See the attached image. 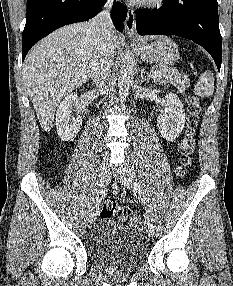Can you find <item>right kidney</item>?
Wrapping results in <instances>:
<instances>
[{
	"mask_svg": "<svg viewBox=\"0 0 233 286\" xmlns=\"http://www.w3.org/2000/svg\"><path fill=\"white\" fill-rule=\"evenodd\" d=\"M79 98L77 94H68L59 104L56 112L57 134L63 141H73L82 125V118H74L72 110L79 108Z\"/></svg>",
	"mask_w": 233,
	"mask_h": 286,
	"instance_id": "obj_1",
	"label": "right kidney"
}]
</instances>
